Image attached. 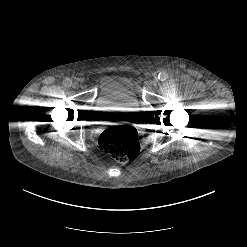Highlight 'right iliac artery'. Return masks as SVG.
I'll return each instance as SVG.
<instances>
[{"label":"right iliac artery","instance_id":"obj_1","mask_svg":"<svg viewBox=\"0 0 247 247\" xmlns=\"http://www.w3.org/2000/svg\"><path fill=\"white\" fill-rule=\"evenodd\" d=\"M63 85L64 87L69 88L72 85V81L70 79H65Z\"/></svg>","mask_w":247,"mask_h":247}]
</instances>
